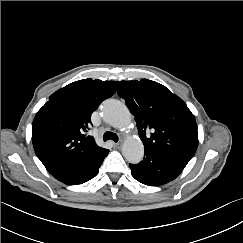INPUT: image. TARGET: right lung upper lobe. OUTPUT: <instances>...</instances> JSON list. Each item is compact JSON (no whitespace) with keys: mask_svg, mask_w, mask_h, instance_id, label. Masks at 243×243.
<instances>
[{"mask_svg":"<svg viewBox=\"0 0 243 243\" xmlns=\"http://www.w3.org/2000/svg\"><path fill=\"white\" fill-rule=\"evenodd\" d=\"M116 87L115 81L83 79L49 97L32 124L33 147L47 170L106 150L87 132L92 112L115 93Z\"/></svg>","mask_w":243,"mask_h":243,"instance_id":"1","label":"right lung upper lobe"}]
</instances>
